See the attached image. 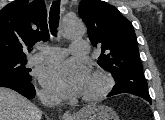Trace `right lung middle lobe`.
<instances>
[{"mask_svg": "<svg viewBox=\"0 0 165 120\" xmlns=\"http://www.w3.org/2000/svg\"><path fill=\"white\" fill-rule=\"evenodd\" d=\"M26 63L25 58L0 61V78L31 81V70L25 67Z\"/></svg>", "mask_w": 165, "mask_h": 120, "instance_id": "1", "label": "right lung middle lobe"}]
</instances>
